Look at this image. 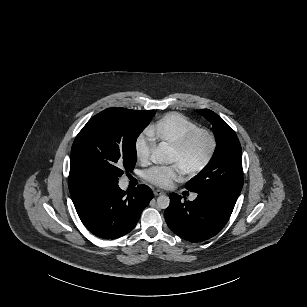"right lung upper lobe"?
Wrapping results in <instances>:
<instances>
[{"mask_svg": "<svg viewBox=\"0 0 307 307\" xmlns=\"http://www.w3.org/2000/svg\"><path fill=\"white\" fill-rule=\"evenodd\" d=\"M141 112L145 113V114L153 113V111H141ZM74 186H76V185H69V189L73 188Z\"/></svg>", "mask_w": 307, "mask_h": 307, "instance_id": "right-lung-upper-lobe-1", "label": "right lung upper lobe"}]
</instances>
